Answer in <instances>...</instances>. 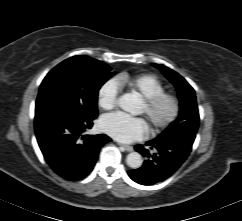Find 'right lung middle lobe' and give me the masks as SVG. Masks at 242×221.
I'll return each mask as SVG.
<instances>
[{
    "label": "right lung middle lobe",
    "instance_id": "obj_1",
    "mask_svg": "<svg viewBox=\"0 0 242 221\" xmlns=\"http://www.w3.org/2000/svg\"><path fill=\"white\" fill-rule=\"evenodd\" d=\"M111 70L107 64L88 56L64 60L41 83L35 118L49 114L82 120L96 118L98 91L111 77Z\"/></svg>",
    "mask_w": 242,
    "mask_h": 221
}]
</instances>
